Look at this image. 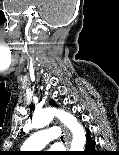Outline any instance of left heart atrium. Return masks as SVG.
<instances>
[{"mask_svg": "<svg viewBox=\"0 0 119 155\" xmlns=\"http://www.w3.org/2000/svg\"><path fill=\"white\" fill-rule=\"evenodd\" d=\"M54 152H51V154L50 155H58V154H53Z\"/></svg>", "mask_w": 119, "mask_h": 155, "instance_id": "1", "label": "left heart atrium"}]
</instances>
